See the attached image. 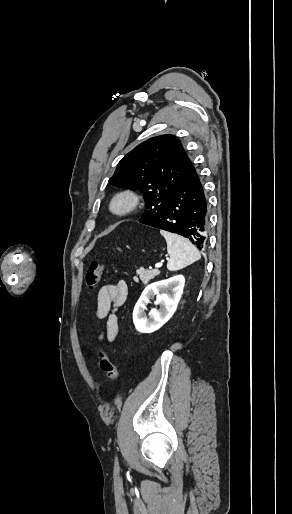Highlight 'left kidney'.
<instances>
[{
    "label": "left kidney",
    "instance_id": "5707ae66",
    "mask_svg": "<svg viewBox=\"0 0 292 514\" xmlns=\"http://www.w3.org/2000/svg\"><path fill=\"white\" fill-rule=\"evenodd\" d=\"M184 284V276H173L169 280L149 284L143 290L133 310V322L136 330L141 334H152L162 328L163 324L172 318L183 294ZM154 296H156L154 304L156 306L160 304L161 308L160 310H155V308L151 310L147 318L146 306L150 304V300H153Z\"/></svg>",
    "mask_w": 292,
    "mask_h": 514
}]
</instances>
